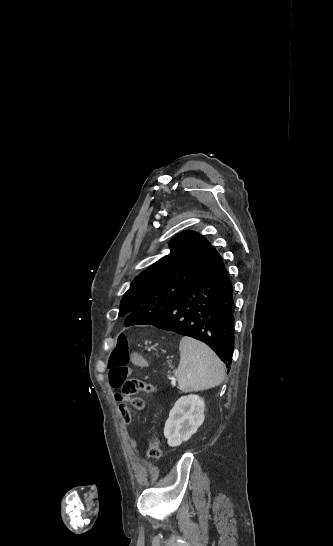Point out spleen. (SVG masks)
<instances>
[{"mask_svg":"<svg viewBox=\"0 0 333 546\" xmlns=\"http://www.w3.org/2000/svg\"><path fill=\"white\" fill-rule=\"evenodd\" d=\"M179 350L180 363L174 374L182 392L205 390L224 381V364L207 345L183 337Z\"/></svg>","mask_w":333,"mask_h":546,"instance_id":"spleen-1","label":"spleen"}]
</instances>
